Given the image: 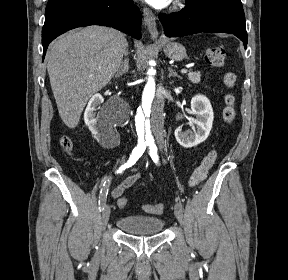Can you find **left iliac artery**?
<instances>
[{
	"label": "left iliac artery",
	"mask_w": 288,
	"mask_h": 280,
	"mask_svg": "<svg viewBox=\"0 0 288 280\" xmlns=\"http://www.w3.org/2000/svg\"><path fill=\"white\" fill-rule=\"evenodd\" d=\"M148 146L150 148L149 155L151 156L153 162L157 165H159V157L157 156V147L154 143V141H149ZM175 201H177L179 206L182 208L184 205V198H182V194L178 193L177 196H175Z\"/></svg>",
	"instance_id": "44dca946"
}]
</instances>
